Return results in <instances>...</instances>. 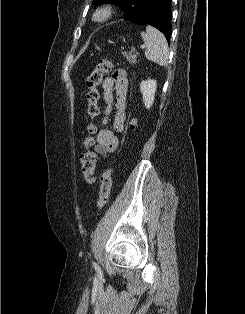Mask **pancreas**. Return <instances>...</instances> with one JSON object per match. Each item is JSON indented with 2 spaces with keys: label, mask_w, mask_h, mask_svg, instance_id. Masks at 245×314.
<instances>
[{
  "label": "pancreas",
  "mask_w": 245,
  "mask_h": 314,
  "mask_svg": "<svg viewBox=\"0 0 245 314\" xmlns=\"http://www.w3.org/2000/svg\"><path fill=\"white\" fill-rule=\"evenodd\" d=\"M138 53L136 52L135 53V50H131L127 55H126V58H127V61L130 63V64H133L135 63V59L137 57Z\"/></svg>",
  "instance_id": "cf45deb5"
}]
</instances>
